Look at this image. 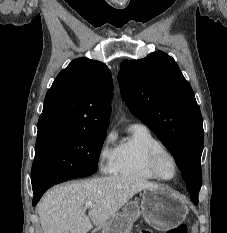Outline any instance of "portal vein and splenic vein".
<instances>
[{
  "label": "portal vein and splenic vein",
  "instance_id": "obj_1",
  "mask_svg": "<svg viewBox=\"0 0 227 233\" xmlns=\"http://www.w3.org/2000/svg\"><path fill=\"white\" fill-rule=\"evenodd\" d=\"M93 205H94V203L92 201H88V202L85 203L86 208L91 207Z\"/></svg>",
  "mask_w": 227,
  "mask_h": 233
}]
</instances>
